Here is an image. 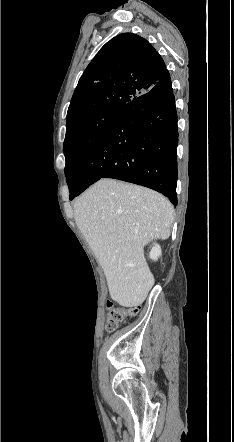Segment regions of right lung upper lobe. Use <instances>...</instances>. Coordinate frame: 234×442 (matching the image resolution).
<instances>
[{
    "mask_svg": "<svg viewBox=\"0 0 234 442\" xmlns=\"http://www.w3.org/2000/svg\"><path fill=\"white\" fill-rule=\"evenodd\" d=\"M166 71L163 59L146 39L132 33L114 37L81 76L67 124L102 109L121 108L149 91Z\"/></svg>",
    "mask_w": 234,
    "mask_h": 442,
    "instance_id": "right-lung-upper-lobe-1",
    "label": "right lung upper lobe"
}]
</instances>
